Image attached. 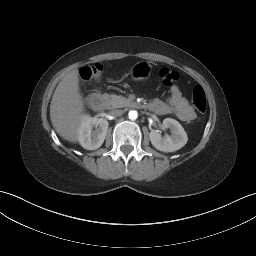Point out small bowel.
<instances>
[{
	"label": "small bowel",
	"instance_id": "c3829d8e",
	"mask_svg": "<svg viewBox=\"0 0 256 256\" xmlns=\"http://www.w3.org/2000/svg\"><path fill=\"white\" fill-rule=\"evenodd\" d=\"M148 108L159 115L174 114L184 122L192 121L196 117L193 108L188 104L181 90L176 85L170 89L168 103L155 99L148 103Z\"/></svg>",
	"mask_w": 256,
	"mask_h": 256
}]
</instances>
